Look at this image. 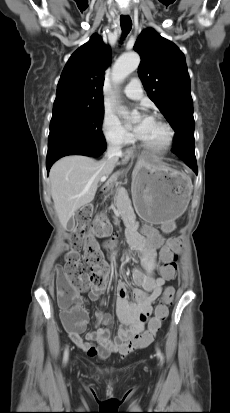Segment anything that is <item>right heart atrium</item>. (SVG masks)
Here are the masks:
<instances>
[{"instance_id":"obj_1","label":"right heart atrium","mask_w":230,"mask_h":413,"mask_svg":"<svg viewBox=\"0 0 230 413\" xmlns=\"http://www.w3.org/2000/svg\"><path fill=\"white\" fill-rule=\"evenodd\" d=\"M101 132L109 145L122 148L131 142L130 134L124 129L117 117L111 113H104Z\"/></svg>"}]
</instances>
